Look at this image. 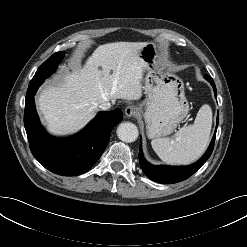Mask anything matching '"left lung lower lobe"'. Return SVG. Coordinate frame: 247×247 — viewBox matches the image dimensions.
Returning <instances> with one entry per match:
<instances>
[{
	"label": "left lung lower lobe",
	"mask_w": 247,
	"mask_h": 247,
	"mask_svg": "<svg viewBox=\"0 0 247 247\" xmlns=\"http://www.w3.org/2000/svg\"><path fill=\"white\" fill-rule=\"evenodd\" d=\"M204 77L212 85L215 93V97L217 98V91L213 79L208 75H205ZM218 121H219V117H217V125L215 132L217 131ZM215 137H216V133L213 135L211 143L205 154L197 162L188 166L151 165L145 160L140 144V151L138 155L140 166L143 172L145 173V175L155 182L163 183V184H172V183L181 182L189 178L191 175H193L208 160L214 148Z\"/></svg>",
	"instance_id": "left-lung-lower-lobe-1"
}]
</instances>
